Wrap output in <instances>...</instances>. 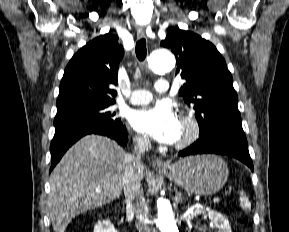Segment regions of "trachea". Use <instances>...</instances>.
Listing matches in <instances>:
<instances>
[{"label":"trachea","mask_w":289,"mask_h":232,"mask_svg":"<svg viewBox=\"0 0 289 232\" xmlns=\"http://www.w3.org/2000/svg\"><path fill=\"white\" fill-rule=\"evenodd\" d=\"M136 56L140 61H143L146 58L147 50H146V40L140 39L136 43Z\"/></svg>","instance_id":"obj_1"}]
</instances>
